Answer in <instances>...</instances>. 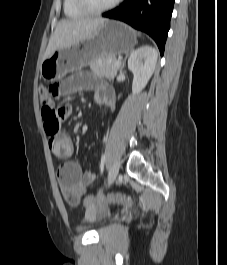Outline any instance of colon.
Wrapping results in <instances>:
<instances>
[{
  "label": "colon",
  "mask_w": 227,
  "mask_h": 265,
  "mask_svg": "<svg viewBox=\"0 0 227 265\" xmlns=\"http://www.w3.org/2000/svg\"><path fill=\"white\" fill-rule=\"evenodd\" d=\"M59 86H40V99L43 104L42 116L45 131L48 135H54L59 131L60 122L65 119L67 112H59V107L55 105V97L58 95ZM65 107V106H64ZM120 204L126 207L134 205L131 197L124 194H110L108 196L91 195L84 199V205L93 210L98 204Z\"/></svg>",
  "instance_id": "colon-1"
}]
</instances>
